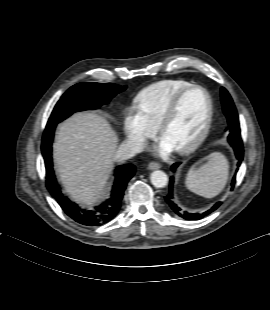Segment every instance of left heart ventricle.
<instances>
[{
	"instance_id": "obj_1",
	"label": "left heart ventricle",
	"mask_w": 270,
	"mask_h": 310,
	"mask_svg": "<svg viewBox=\"0 0 270 310\" xmlns=\"http://www.w3.org/2000/svg\"><path fill=\"white\" fill-rule=\"evenodd\" d=\"M207 112V100L200 91L189 93L181 102L173 119L165 128L162 139L174 149L195 137Z\"/></svg>"
}]
</instances>
